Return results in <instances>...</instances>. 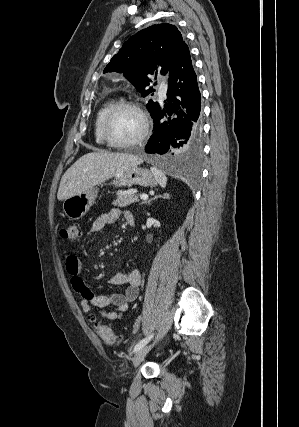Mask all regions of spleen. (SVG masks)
I'll return each mask as SVG.
<instances>
[{"instance_id":"1","label":"spleen","mask_w":299,"mask_h":427,"mask_svg":"<svg viewBox=\"0 0 299 427\" xmlns=\"http://www.w3.org/2000/svg\"><path fill=\"white\" fill-rule=\"evenodd\" d=\"M150 170L153 173V175L155 176V179L157 180L159 185L162 187H165L167 184V177L165 176L164 172H162L161 170H159L156 167H151Z\"/></svg>"}]
</instances>
